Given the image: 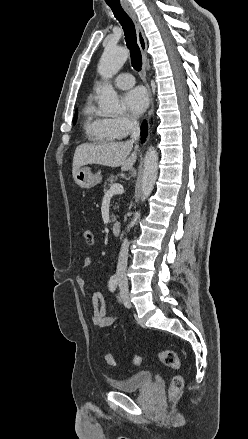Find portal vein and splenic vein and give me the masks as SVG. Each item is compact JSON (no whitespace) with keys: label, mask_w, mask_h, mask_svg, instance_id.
<instances>
[{"label":"portal vein and splenic vein","mask_w":248,"mask_h":439,"mask_svg":"<svg viewBox=\"0 0 248 439\" xmlns=\"http://www.w3.org/2000/svg\"><path fill=\"white\" fill-rule=\"evenodd\" d=\"M123 192H124V187L119 183L112 184L109 190L107 191V193L109 194H122Z\"/></svg>","instance_id":"18ae733b"}]
</instances>
